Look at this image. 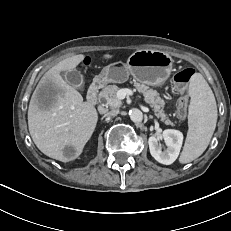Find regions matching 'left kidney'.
Returning <instances> with one entry per match:
<instances>
[{
  "instance_id": "5707ae66",
  "label": "left kidney",
  "mask_w": 231,
  "mask_h": 231,
  "mask_svg": "<svg viewBox=\"0 0 231 231\" xmlns=\"http://www.w3.org/2000/svg\"><path fill=\"white\" fill-rule=\"evenodd\" d=\"M163 138L167 148L162 151L159 144L160 139ZM183 143L182 132L174 129H166L162 132L161 137H149L148 144L152 157L161 164L170 165L178 157Z\"/></svg>"
}]
</instances>
